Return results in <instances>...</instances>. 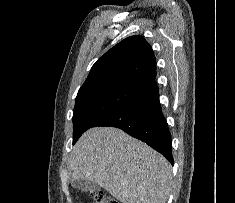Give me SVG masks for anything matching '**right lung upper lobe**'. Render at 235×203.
Wrapping results in <instances>:
<instances>
[{
	"label": "right lung upper lobe",
	"mask_w": 235,
	"mask_h": 203,
	"mask_svg": "<svg viewBox=\"0 0 235 203\" xmlns=\"http://www.w3.org/2000/svg\"><path fill=\"white\" fill-rule=\"evenodd\" d=\"M156 59L151 46L140 35L122 40L92 66L80 89L109 82L156 85Z\"/></svg>",
	"instance_id": "1"
}]
</instances>
